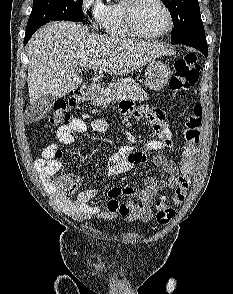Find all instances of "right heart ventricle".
Wrapping results in <instances>:
<instances>
[{
    "label": "right heart ventricle",
    "instance_id": "right-heart-ventricle-1",
    "mask_svg": "<svg viewBox=\"0 0 233 294\" xmlns=\"http://www.w3.org/2000/svg\"><path fill=\"white\" fill-rule=\"evenodd\" d=\"M125 2L126 0H119L105 7V11L100 20V26L111 36L120 38L135 37L129 30L125 20Z\"/></svg>",
    "mask_w": 233,
    "mask_h": 294
}]
</instances>
